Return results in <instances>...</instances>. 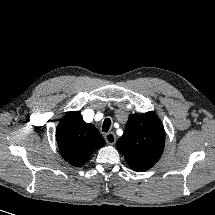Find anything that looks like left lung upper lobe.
Segmentation results:
<instances>
[{
  "label": "left lung upper lobe",
  "instance_id": "obj_1",
  "mask_svg": "<svg viewBox=\"0 0 215 215\" xmlns=\"http://www.w3.org/2000/svg\"><path fill=\"white\" fill-rule=\"evenodd\" d=\"M165 131L160 119L152 111L132 114L125 132L116 144L129 166L138 172L150 169L161 157Z\"/></svg>",
  "mask_w": 215,
  "mask_h": 215
}]
</instances>
